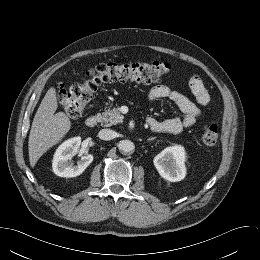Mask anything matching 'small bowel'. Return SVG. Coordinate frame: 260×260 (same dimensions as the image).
Segmentation results:
<instances>
[{
  "label": "small bowel",
  "instance_id": "small-bowel-1",
  "mask_svg": "<svg viewBox=\"0 0 260 260\" xmlns=\"http://www.w3.org/2000/svg\"><path fill=\"white\" fill-rule=\"evenodd\" d=\"M189 87L195 96L198 105L201 107L207 106L210 101V96L201 78L197 75L192 76L189 80ZM148 98L150 101L169 99L173 101L183 113L182 117L176 116L166 120L150 118L148 120V125L155 132L177 134L183 129L193 126L201 114V111L196 104L190 101L182 93L166 85L152 87L149 90Z\"/></svg>",
  "mask_w": 260,
  "mask_h": 260
}]
</instances>
